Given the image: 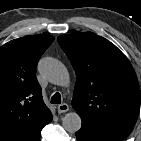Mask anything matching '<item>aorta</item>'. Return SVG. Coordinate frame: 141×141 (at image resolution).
<instances>
[{
	"mask_svg": "<svg viewBox=\"0 0 141 141\" xmlns=\"http://www.w3.org/2000/svg\"><path fill=\"white\" fill-rule=\"evenodd\" d=\"M38 69L47 80L58 86H68L70 77L65 65L52 57L42 58L39 62ZM63 127L70 133H75L81 128V118L77 112H69L63 118Z\"/></svg>",
	"mask_w": 141,
	"mask_h": 141,
	"instance_id": "aorta-1",
	"label": "aorta"
}]
</instances>
